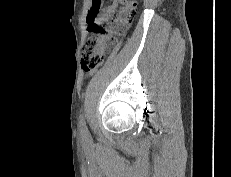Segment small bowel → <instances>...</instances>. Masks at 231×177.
<instances>
[{
    "label": "small bowel",
    "mask_w": 231,
    "mask_h": 177,
    "mask_svg": "<svg viewBox=\"0 0 231 177\" xmlns=\"http://www.w3.org/2000/svg\"><path fill=\"white\" fill-rule=\"evenodd\" d=\"M102 1L103 0H92V7L87 17L88 24H89L90 14L97 5H99V10H98V13L95 19L96 24H101L102 22L106 21L109 15L113 13L117 7V0H111V3L107 7H104V8H102Z\"/></svg>",
    "instance_id": "small-bowel-1"
}]
</instances>
